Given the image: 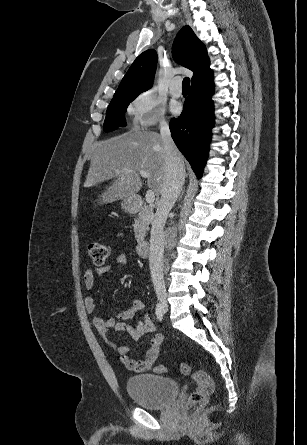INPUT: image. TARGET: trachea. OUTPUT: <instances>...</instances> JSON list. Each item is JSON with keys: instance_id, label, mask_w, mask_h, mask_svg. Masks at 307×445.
<instances>
[{"instance_id": "1", "label": "trachea", "mask_w": 307, "mask_h": 445, "mask_svg": "<svg viewBox=\"0 0 307 445\" xmlns=\"http://www.w3.org/2000/svg\"><path fill=\"white\" fill-rule=\"evenodd\" d=\"M189 87H190V78H188V77H185L184 79H183V89H189Z\"/></svg>"}]
</instances>
